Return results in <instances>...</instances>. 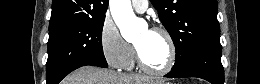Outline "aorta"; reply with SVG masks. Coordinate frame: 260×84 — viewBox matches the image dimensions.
I'll return each instance as SVG.
<instances>
[{"label": "aorta", "instance_id": "762f6f07", "mask_svg": "<svg viewBox=\"0 0 260 84\" xmlns=\"http://www.w3.org/2000/svg\"><path fill=\"white\" fill-rule=\"evenodd\" d=\"M111 15L120 29L121 35L127 41L134 40L140 29L141 23L135 16L130 0H110Z\"/></svg>", "mask_w": 260, "mask_h": 84}]
</instances>
